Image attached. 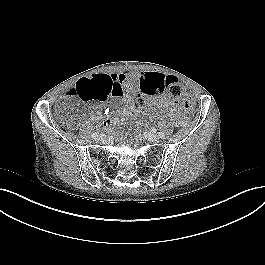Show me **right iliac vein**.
<instances>
[{
  "label": "right iliac vein",
  "instance_id": "obj_1",
  "mask_svg": "<svg viewBox=\"0 0 265 265\" xmlns=\"http://www.w3.org/2000/svg\"><path fill=\"white\" fill-rule=\"evenodd\" d=\"M96 141L99 142V143L104 142V137L101 136V135L100 136H97L96 137Z\"/></svg>",
  "mask_w": 265,
  "mask_h": 265
}]
</instances>
